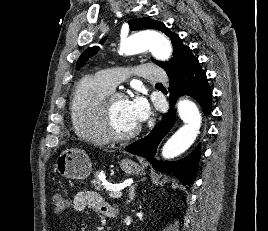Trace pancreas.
Wrapping results in <instances>:
<instances>
[{"mask_svg":"<svg viewBox=\"0 0 268 231\" xmlns=\"http://www.w3.org/2000/svg\"><path fill=\"white\" fill-rule=\"evenodd\" d=\"M99 175H100L99 172L95 174V178L92 181V185L95 187L97 191H103L108 187L109 184L107 182L103 183V180L105 181V179H101Z\"/></svg>","mask_w":268,"mask_h":231,"instance_id":"1","label":"pancreas"}]
</instances>
